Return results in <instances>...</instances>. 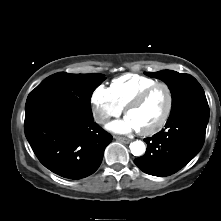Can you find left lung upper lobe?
Instances as JSON below:
<instances>
[{
  "instance_id": "left-lung-upper-lobe-1",
  "label": "left lung upper lobe",
  "mask_w": 221,
  "mask_h": 221,
  "mask_svg": "<svg viewBox=\"0 0 221 221\" xmlns=\"http://www.w3.org/2000/svg\"><path fill=\"white\" fill-rule=\"evenodd\" d=\"M145 75L164 81L172 93V110L182 103L201 96H205L204 90L198 81L189 74H182L172 70L159 72H144Z\"/></svg>"
}]
</instances>
